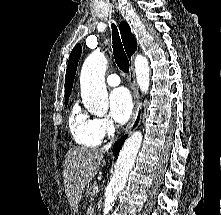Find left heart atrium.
Instances as JSON below:
<instances>
[{
    "mask_svg": "<svg viewBox=\"0 0 221 215\" xmlns=\"http://www.w3.org/2000/svg\"><path fill=\"white\" fill-rule=\"evenodd\" d=\"M110 112L119 124L125 123L133 112V101L129 91L124 88L114 89L109 97Z\"/></svg>",
    "mask_w": 221,
    "mask_h": 215,
    "instance_id": "1",
    "label": "left heart atrium"
}]
</instances>
